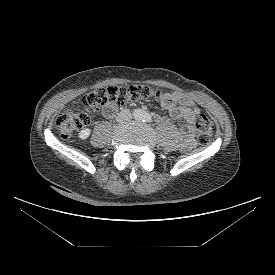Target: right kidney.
I'll use <instances>...</instances> for the list:
<instances>
[{
	"instance_id": "1",
	"label": "right kidney",
	"mask_w": 275,
	"mask_h": 275,
	"mask_svg": "<svg viewBox=\"0 0 275 275\" xmlns=\"http://www.w3.org/2000/svg\"><path fill=\"white\" fill-rule=\"evenodd\" d=\"M91 134V130L89 128H85V129H82L79 134H78V137L81 139V140H85L87 139Z\"/></svg>"
}]
</instances>
